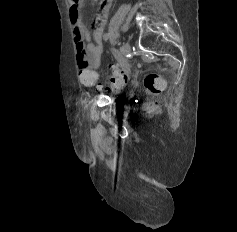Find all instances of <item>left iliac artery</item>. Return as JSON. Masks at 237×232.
<instances>
[{
    "mask_svg": "<svg viewBox=\"0 0 237 232\" xmlns=\"http://www.w3.org/2000/svg\"><path fill=\"white\" fill-rule=\"evenodd\" d=\"M109 37H110V34H109V33H106V34H104L103 39L106 41V40L109 39Z\"/></svg>",
    "mask_w": 237,
    "mask_h": 232,
    "instance_id": "left-iliac-artery-1",
    "label": "left iliac artery"
}]
</instances>
